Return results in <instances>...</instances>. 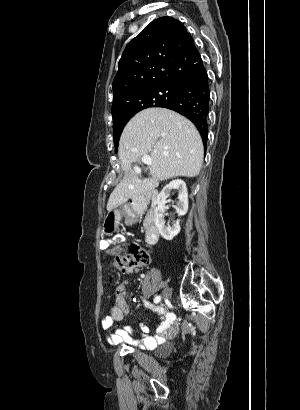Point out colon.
I'll use <instances>...</instances> for the list:
<instances>
[{"label":"colon","mask_w":300,"mask_h":410,"mask_svg":"<svg viewBox=\"0 0 300 410\" xmlns=\"http://www.w3.org/2000/svg\"><path fill=\"white\" fill-rule=\"evenodd\" d=\"M148 262V250L139 242H133L130 244L127 253L116 255L113 266L121 272H128L142 267Z\"/></svg>","instance_id":"colon-1"}]
</instances>
